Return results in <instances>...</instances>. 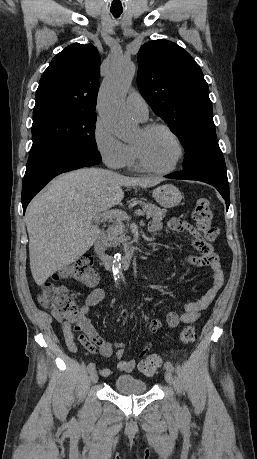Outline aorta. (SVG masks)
Instances as JSON below:
<instances>
[{
	"label": "aorta",
	"instance_id": "aorta-1",
	"mask_svg": "<svg viewBox=\"0 0 257 459\" xmlns=\"http://www.w3.org/2000/svg\"><path fill=\"white\" fill-rule=\"evenodd\" d=\"M135 65L131 61L115 64L103 81L99 93V113L102 121L118 139L128 142L135 138L137 126L124 110L123 102L135 74ZM112 273L117 285L122 275L121 255L115 254Z\"/></svg>",
	"mask_w": 257,
	"mask_h": 459
}]
</instances>
